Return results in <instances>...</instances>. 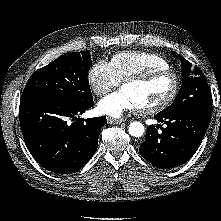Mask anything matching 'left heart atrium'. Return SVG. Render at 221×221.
I'll list each match as a JSON object with an SVG mask.
<instances>
[{
    "label": "left heart atrium",
    "instance_id": "1",
    "mask_svg": "<svg viewBox=\"0 0 221 221\" xmlns=\"http://www.w3.org/2000/svg\"><path fill=\"white\" fill-rule=\"evenodd\" d=\"M139 110V106L134 99L123 89L113 92L103 99L97 105V111L110 117H121L126 112Z\"/></svg>",
    "mask_w": 221,
    "mask_h": 221
}]
</instances>
